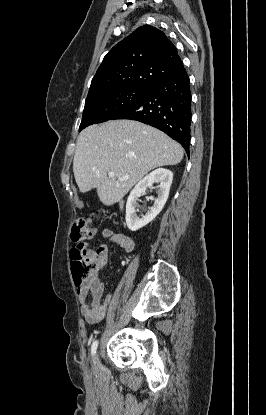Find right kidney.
Wrapping results in <instances>:
<instances>
[{
    "label": "right kidney",
    "instance_id": "right-kidney-1",
    "mask_svg": "<svg viewBox=\"0 0 266 415\" xmlns=\"http://www.w3.org/2000/svg\"><path fill=\"white\" fill-rule=\"evenodd\" d=\"M173 180V173L164 168H159L152 171L149 175L144 177L135 188L131 191L126 203V224L131 231H137L153 221L156 216L163 209L168 196ZM154 183H159L157 186L158 197L154 199V204L144 216L139 217L136 211L139 207L137 200L144 195L147 188H152Z\"/></svg>",
    "mask_w": 266,
    "mask_h": 415
}]
</instances>
